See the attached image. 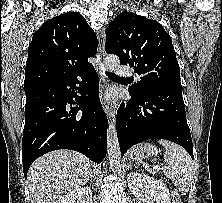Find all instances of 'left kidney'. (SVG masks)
Here are the masks:
<instances>
[{"instance_id": "left-kidney-1", "label": "left kidney", "mask_w": 222, "mask_h": 203, "mask_svg": "<svg viewBox=\"0 0 222 203\" xmlns=\"http://www.w3.org/2000/svg\"><path fill=\"white\" fill-rule=\"evenodd\" d=\"M127 180L132 194L143 196L144 203H171L169 190L161 180L138 172H130Z\"/></svg>"}]
</instances>
